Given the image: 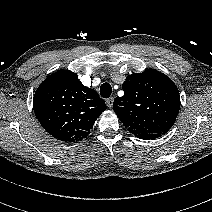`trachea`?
<instances>
[{
  "mask_svg": "<svg viewBox=\"0 0 212 212\" xmlns=\"http://www.w3.org/2000/svg\"><path fill=\"white\" fill-rule=\"evenodd\" d=\"M112 93V87L109 83H103L100 87V95L103 98H109Z\"/></svg>",
  "mask_w": 212,
  "mask_h": 212,
  "instance_id": "3493384b",
  "label": "trachea"
}]
</instances>
